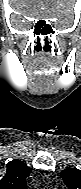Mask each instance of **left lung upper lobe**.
Instances as JSON below:
<instances>
[{
  "instance_id": "1",
  "label": "left lung upper lobe",
  "mask_w": 81,
  "mask_h": 189,
  "mask_svg": "<svg viewBox=\"0 0 81 189\" xmlns=\"http://www.w3.org/2000/svg\"><path fill=\"white\" fill-rule=\"evenodd\" d=\"M61 177L69 189H81V171L79 169H65L61 172Z\"/></svg>"
}]
</instances>
